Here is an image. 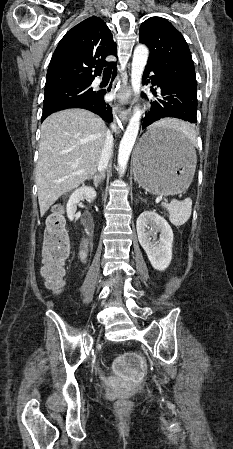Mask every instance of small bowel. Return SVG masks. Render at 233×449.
<instances>
[{"mask_svg": "<svg viewBox=\"0 0 233 449\" xmlns=\"http://www.w3.org/2000/svg\"><path fill=\"white\" fill-rule=\"evenodd\" d=\"M118 363L114 365L111 370V375L114 377H127L126 381L131 383L132 377H141L144 371V364L139 363L141 356L139 354H118Z\"/></svg>", "mask_w": 233, "mask_h": 449, "instance_id": "1", "label": "small bowel"}]
</instances>
